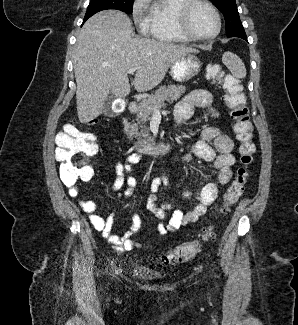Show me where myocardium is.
Segmentation results:
<instances>
[{
	"instance_id": "obj_1",
	"label": "myocardium",
	"mask_w": 298,
	"mask_h": 325,
	"mask_svg": "<svg viewBox=\"0 0 298 325\" xmlns=\"http://www.w3.org/2000/svg\"><path fill=\"white\" fill-rule=\"evenodd\" d=\"M196 5H200L206 8L215 20V24H216L215 32L206 40H202L198 38L194 33L191 32V30L188 28L186 24V20L189 12ZM173 26H174V30L181 36H183L184 38L190 41L197 42L200 44H209L213 42L218 37L221 30L220 19L218 14L209 3L202 0H182L178 2L175 6V18H174Z\"/></svg>"
}]
</instances>
